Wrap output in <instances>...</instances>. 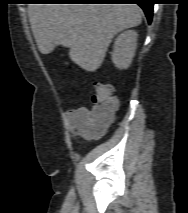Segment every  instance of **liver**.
Wrapping results in <instances>:
<instances>
[{
  "instance_id": "1",
  "label": "liver",
  "mask_w": 188,
  "mask_h": 213,
  "mask_svg": "<svg viewBox=\"0 0 188 213\" xmlns=\"http://www.w3.org/2000/svg\"><path fill=\"white\" fill-rule=\"evenodd\" d=\"M28 15L42 54L67 47L70 59L88 72L100 68L115 35L142 21L136 4H31Z\"/></svg>"
}]
</instances>
